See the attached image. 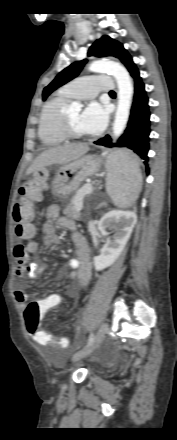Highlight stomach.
<instances>
[{
  "instance_id": "1",
  "label": "stomach",
  "mask_w": 177,
  "mask_h": 440,
  "mask_svg": "<svg viewBox=\"0 0 177 440\" xmlns=\"http://www.w3.org/2000/svg\"><path fill=\"white\" fill-rule=\"evenodd\" d=\"M117 158V151L111 153L107 158V165L111 166ZM101 161L93 155H85L77 160L67 163L60 167L52 182V193L55 197L66 198L78 189L80 184L88 177L94 175L100 168ZM44 168H39L34 172L37 178L39 172Z\"/></svg>"
}]
</instances>
